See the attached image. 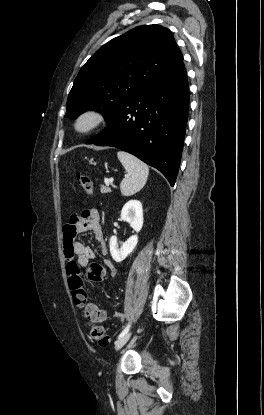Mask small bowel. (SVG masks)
I'll return each mask as SVG.
<instances>
[{
	"instance_id": "1",
	"label": "small bowel",
	"mask_w": 264,
	"mask_h": 415,
	"mask_svg": "<svg viewBox=\"0 0 264 415\" xmlns=\"http://www.w3.org/2000/svg\"><path fill=\"white\" fill-rule=\"evenodd\" d=\"M100 213L97 209H87L81 215H71L68 224L64 228V257L67 262H74L79 268H84L95 258V251L92 247L76 239L78 233L90 231L93 233L99 245L100 252L107 254V245L99 223ZM105 264L111 275L115 269L110 260L105 259ZM106 319V312L101 310Z\"/></svg>"
}]
</instances>
